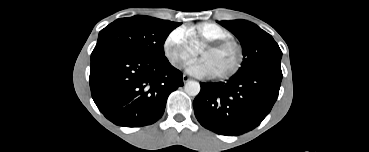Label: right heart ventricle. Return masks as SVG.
<instances>
[{
  "mask_svg": "<svg viewBox=\"0 0 369 152\" xmlns=\"http://www.w3.org/2000/svg\"><path fill=\"white\" fill-rule=\"evenodd\" d=\"M183 29L196 51H199L209 41L231 37V33L227 29L214 22H201Z\"/></svg>",
  "mask_w": 369,
  "mask_h": 152,
  "instance_id": "obj_1",
  "label": "right heart ventricle"
}]
</instances>
